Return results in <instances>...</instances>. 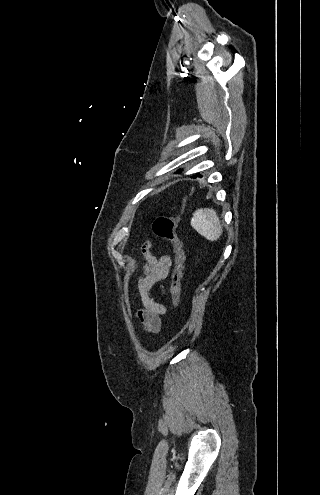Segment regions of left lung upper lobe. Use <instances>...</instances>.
<instances>
[{"label": "left lung upper lobe", "mask_w": 320, "mask_h": 495, "mask_svg": "<svg viewBox=\"0 0 320 495\" xmlns=\"http://www.w3.org/2000/svg\"><path fill=\"white\" fill-rule=\"evenodd\" d=\"M180 172H181V170L177 171V173H180Z\"/></svg>", "instance_id": "1"}]
</instances>
